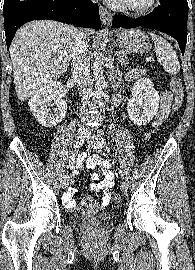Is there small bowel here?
Segmentation results:
<instances>
[{"mask_svg": "<svg viewBox=\"0 0 195 270\" xmlns=\"http://www.w3.org/2000/svg\"><path fill=\"white\" fill-rule=\"evenodd\" d=\"M135 76L136 74L132 75L131 78ZM119 100L120 98H118L116 101L118 102ZM171 101V93L169 91H163L161 93L159 111L157 112L156 117L152 123L153 128L158 127L167 119L170 111ZM82 164H84L88 169L99 168L102 171L103 180L100 182L98 181L100 177L98 173L94 172L91 175V179L93 182L91 183L90 187L94 192L103 191L101 204L107 205L110 202L111 189L114 187L115 184V174L111 169L110 162L102 158L98 154L86 153L81 155L78 159L77 166H81ZM74 193L75 189L69 188L64 196V203L68 208H72L76 204V201L72 198ZM86 202L91 203L92 200L86 199Z\"/></svg>", "mask_w": 195, "mask_h": 270, "instance_id": "c3829d8e", "label": "small bowel"}]
</instances>
